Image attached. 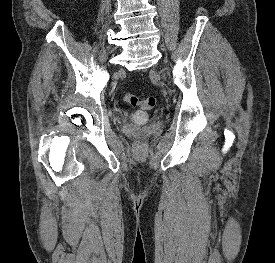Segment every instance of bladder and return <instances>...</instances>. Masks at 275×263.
Masks as SVG:
<instances>
[{
    "instance_id": "1",
    "label": "bladder",
    "mask_w": 275,
    "mask_h": 263,
    "mask_svg": "<svg viewBox=\"0 0 275 263\" xmlns=\"http://www.w3.org/2000/svg\"><path fill=\"white\" fill-rule=\"evenodd\" d=\"M132 120L135 123L143 124L148 120V114L142 111H137L132 115Z\"/></svg>"
}]
</instances>
